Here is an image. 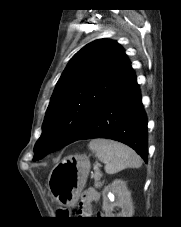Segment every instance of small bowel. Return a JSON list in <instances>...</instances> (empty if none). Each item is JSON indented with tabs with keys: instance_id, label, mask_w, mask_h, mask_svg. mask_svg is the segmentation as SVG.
<instances>
[{
	"instance_id": "obj_1",
	"label": "small bowel",
	"mask_w": 181,
	"mask_h": 227,
	"mask_svg": "<svg viewBox=\"0 0 181 227\" xmlns=\"http://www.w3.org/2000/svg\"><path fill=\"white\" fill-rule=\"evenodd\" d=\"M100 200V193L94 189L86 190L81 198V207L79 209V215L84 217L94 216L92 204ZM95 216H101V212L95 214Z\"/></svg>"
}]
</instances>
